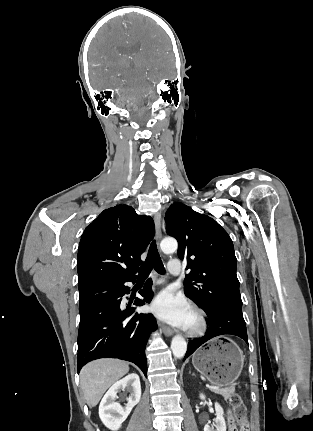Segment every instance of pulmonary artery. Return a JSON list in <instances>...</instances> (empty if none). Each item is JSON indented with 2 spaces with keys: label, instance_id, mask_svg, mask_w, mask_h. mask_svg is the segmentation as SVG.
I'll use <instances>...</instances> for the list:
<instances>
[{
  "label": "pulmonary artery",
  "instance_id": "obj_1",
  "mask_svg": "<svg viewBox=\"0 0 313 431\" xmlns=\"http://www.w3.org/2000/svg\"><path fill=\"white\" fill-rule=\"evenodd\" d=\"M168 270L172 275H178L181 271V265L179 260L172 259L168 262Z\"/></svg>",
  "mask_w": 313,
  "mask_h": 431
}]
</instances>
